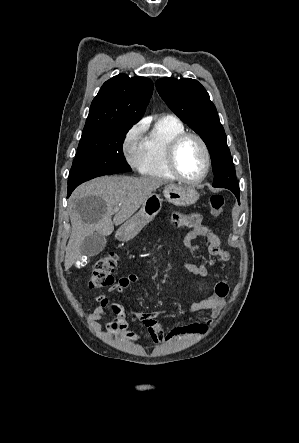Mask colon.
Masks as SVG:
<instances>
[{"label":"colon","mask_w":299,"mask_h":443,"mask_svg":"<svg viewBox=\"0 0 299 443\" xmlns=\"http://www.w3.org/2000/svg\"><path fill=\"white\" fill-rule=\"evenodd\" d=\"M224 209V198L220 195H213L210 198V211L215 217L222 214ZM118 264V256L115 253H109L101 257L95 263L88 279L91 288H101L112 284V273Z\"/></svg>","instance_id":"5ec220e1"}]
</instances>
